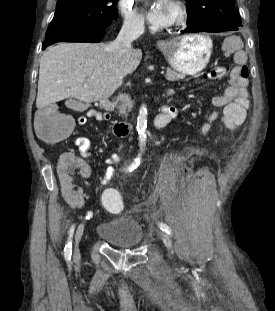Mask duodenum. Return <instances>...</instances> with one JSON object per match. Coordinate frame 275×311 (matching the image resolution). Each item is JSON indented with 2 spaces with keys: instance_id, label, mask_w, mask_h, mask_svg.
I'll return each mask as SVG.
<instances>
[{
  "instance_id": "duodenum-1",
  "label": "duodenum",
  "mask_w": 275,
  "mask_h": 311,
  "mask_svg": "<svg viewBox=\"0 0 275 311\" xmlns=\"http://www.w3.org/2000/svg\"><path fill=\"white\" fill-rule=\"evenodd\" d=\"M101 106L106 109H113L114 108V101L111 99H104L101 102ZM113 132L116 136H125L130 133L132 130V125L128 122H115L112 125Z\"/></svg>"
}]
</instances>
